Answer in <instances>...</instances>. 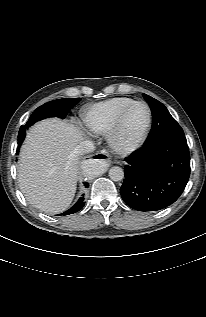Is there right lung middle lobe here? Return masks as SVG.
Wrapping results in <instances>:
<instances>
[{
	"label": "right lung middle lobe",
	"mask_w": 206,
	"mask_h": 317,
	"mask_svg": "<svg viewBox=\"0 0 206 317\" xmlns=\"http://www.w3.org/2000/svg\"><path fill=\"white\" fill-rule=\"evenodd\" d=\"M80 100L81 98L57 99L38 107L31 115L28 122L24 126H21L18 134V145L20 146L22 144L26 134V129L32 124L48 117L65 118L69 110Z\"/></svg>",
	"instance_id": "right-lung-middle-lobe-1"
}]
</instances>
